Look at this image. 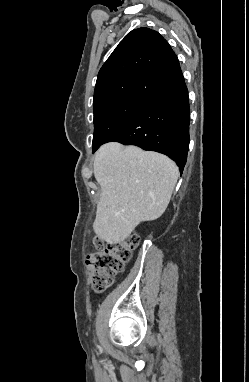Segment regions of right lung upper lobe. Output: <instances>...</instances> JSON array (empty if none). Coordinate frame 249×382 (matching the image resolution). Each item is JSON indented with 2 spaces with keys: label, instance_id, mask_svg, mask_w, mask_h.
<instances>
[{
  "label": "right lung upper lobe",
  "instance_id": "1",
  "mask_svg": "<svg viewBox=\"0 0 249 382\" xmlns=\"http://www.w3.org/2000/svg\"><path fill=\"white\" fill-rule=\"evenodd\" d=\"M181 76L178 58L161 34L132 30L100 69L93 107L131 96L151 99Z\"/></svg>",
  "mask_w": 249,
  "mask_h": 382
}]
</instances>
